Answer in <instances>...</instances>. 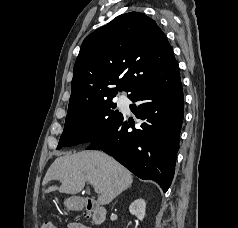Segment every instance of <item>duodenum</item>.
Here are the masks:
<instances>
[{
  "label": "duodenum",
  "instance_id": "1",
  "mask_svg": "<svg viewBox=\"0 0 238 228\" xmlns=\"http://www.w3.org/2000/svg\"><path fill=\"white\" fill-rule=\"evenodd\" d=\"M78 207H83L90 213H92L93 221L95 223H102L106 217V210L104 207L100 206L96 201L92 199H84L79 201Z\"/></svg>",
  "mask_w": 238,
  "mask_h": 228
}]
</instances>
